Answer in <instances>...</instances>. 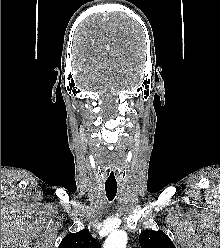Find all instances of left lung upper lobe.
Returning <instances> with one entry per match:
<instances>
[{
	"instance_id": "5c2ea615",
	"label": "left lung upper lobe",
	"mask_w": 220,
	"mask_h": 248,
	"mask_svg": "<svg viewBox=\"0 0 220 248\" xmlns=\"http://www.w3.org/2000/svg\"><path fill=\"white\" fill-rule=\"evenodd\" d=\"M142 248H176L162 231L145 230L139 236Z\"/></svg>"
}]
</instances>
